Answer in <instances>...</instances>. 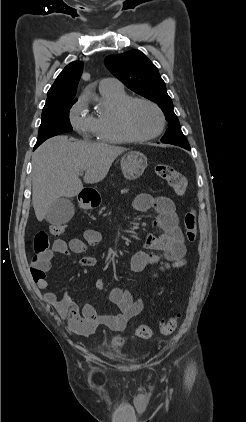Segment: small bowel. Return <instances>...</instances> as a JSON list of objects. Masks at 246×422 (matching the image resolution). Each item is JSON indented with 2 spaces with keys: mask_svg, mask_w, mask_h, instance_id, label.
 <instances>
[{
  "mask_svg": "<svg viewBox=\"0 0 246 422\" xmlns=\"http://www.w3.org/2000/svg\"><path fill=\"white\" fill-rule=\"evenodd\" d=\"M134 208L138 212H147L153 209L156 216L152 225L160 230V234L147 235L144 249L131 257V269L134 272H141L145 268L163 261L170 263L182 261L186 255V245L173 200L165 196L154 197L142 193L136 197ZM101 239L102 233L99 230L88 229L84 232L83 239L73 238L68 242L62 239L55 240L39 263V267L44 271V276L37 280L33 279L36 286L39 289L47 288L46 272L49 271L51 261L57 254H83L88 246L98 244ZM75 263L80 267L89 268L94 267L97 260L92 256H83L75 260ZM94 287L98 291L104 290L105 282L102 279H97ZM109 295L119 309L117 314H99L91 304H85L80 309L68 294H64L59 299L55 293L45 292L43 299L52 305L62 318L68 319L74 332L80 335H90L97 327L102 325L113 331H123L127 322L144 308L143 300L140 298L134 299L125 288L114 287L110 290Z\"/></svg>",
  "mask_w": 246,
  "mask_h": 422,
  "instance_id": "small-bowel-1",
  "label": "small bowel"
}]
</instances>
